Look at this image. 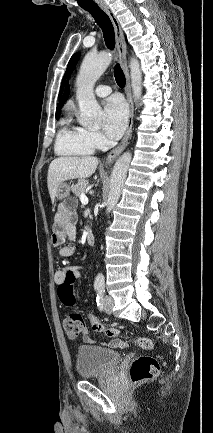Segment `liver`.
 Instances as JSON below:
<instances>
[{
  "label": "liver",
  "mask_w": 213,
  "mask_h": 433,
  "mask_svg": "<svg viewBox=\"0 0 213 433\" xmlns=\"http://www.w3.org/2000/svg\"><path fill=\"white\" fill-rule=\"evenodd\" d=\"M97 157H58L54 159L48 169L47 185L51 201L54 202L60 184L76 178H88L96 170Z\"/></svg>",
  "instance_id": "1"
}]
</instances>
